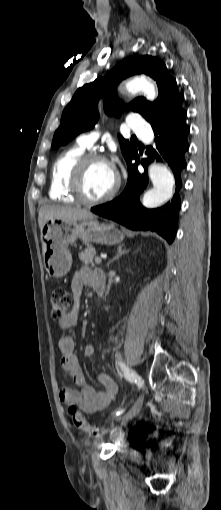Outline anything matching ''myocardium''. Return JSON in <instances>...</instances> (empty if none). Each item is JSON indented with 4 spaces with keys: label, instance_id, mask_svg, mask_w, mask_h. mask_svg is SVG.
Returning <instances> with one entry per match:
<instances>
[{
    "label": "myocardium",
    "instance_id": "f54148a6",
    "mask_svg": "<svg viewBox=\"0 0 221 510\" xmlns=\"http://www.w3.org/2000/svg\"><path fill=\"white\" fill-rule=\"evenodd\" d=\"M97 161L110 163L102 154L96 152L85 153L76 161L69 175L68 188L71 194L77 202L86 206L100 205L112 200L119 192L121 185L120 176L116 173V182L110 192L96 199L88 198L84 192L83 182L88 165Z\"/></svg>",
    "mask_w": 221,
    "mask_h": 510
}]
</instances>
